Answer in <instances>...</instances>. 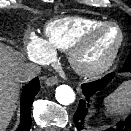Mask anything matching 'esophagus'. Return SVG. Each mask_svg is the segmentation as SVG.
Listing matches in <instances>:
<instances>
[{
	"label": "esophagus",
	"mask_w": 131,
	"mask_h": 131,
	"mask_svg": "<svg viewBox=\"0 0 131 131\" xmlns=\"http://www.w3.org/2000/svg\"><path fill=\"white\" fill-rule=\"evenodd\" d=\"M58 83V78L57 77H49L45 80V85L46 86H54Z\"/></svg>",
	"instance_id": "obj_1"
}]
</instances>
